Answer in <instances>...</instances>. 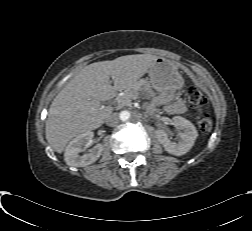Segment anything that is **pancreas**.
Segmentation results:
<instances>
[{"mask_svg":"<svg viewBox=\"0 0 252 231\" xmlns=\"http://www.w3.org/2000/svg\"><path fill=\"white\" fill-rule=\"evenodd\" d=\"M131 104V97L126 94L117 98V107L122 108Z\"/></svg>","mask_w":252,"mask_h":231,"instance_id":"1","label":"pancreas"}]
</instances>
